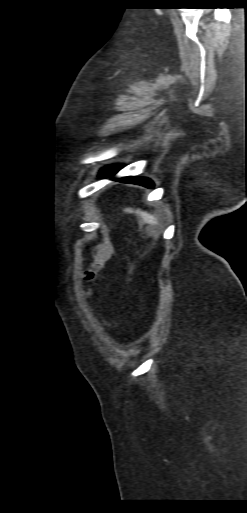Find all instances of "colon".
<instances>
[{
	"label": "colon",
	"mask_w": 247,
	"mask_h": 513,
	"mask_svg": "<svg viewBox=\"0 0 247 513\" xmlns=\"http://www.w3.org/2000/svg\"><path fill=\"white\" fill-rule=\"evenodd\" d=\"M111 250L104 244L96 245L92 251L93 264L85 271V281L87 283H95L97 274L101 266L108 260Z\"/></svg>",
	"instance_id": "1"
}]
</instances>
